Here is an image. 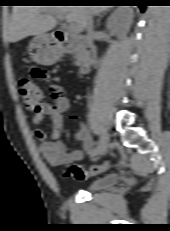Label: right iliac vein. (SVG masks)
<instances>
[{
    "mask_svg": "<svg viewBox=\"0 0 170 231\" xmlns=\"http://www.w3.org/2000/svg\"><path fill=\"white\" fill-rule=\"evenodd\" d=\"M109 141H110L109 134L107 132H103L99 141L98 155L102 156L107 152Z\"/></svg>",
    "mask_w": 170,
    "mask_h": 231,
    "instance_id": "1",
    "label": "right iliac vein"
}]
</instances>
